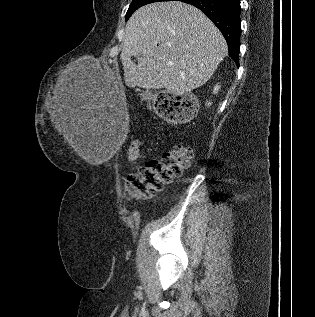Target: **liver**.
I'll return each mask as SVG.
<instances>
[{
    "instance_id": "1",
    "label": "liver",
    "mask_w": 315,
    "mask_h": 317,
    "mask_svg": "<svg viewBox=\"0 0 315 317\" xmlns=\"http://www.w3.org/2000/svg\"><path fill=\"white\" fill-rule=\"evenodd\" d=\"M227 54L223 35L199 9L171 1L149 4L133 13L126 24L120 59L126 86L165 88L184 95L204 85ZM54 94L50 119L85 158L83 121L75 109L73 91L59 85Z\"/></svg>"
}]
</instances>
